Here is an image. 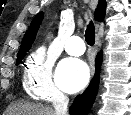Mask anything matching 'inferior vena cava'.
I'll list each match as a JSON object with an SVG mask.
<instances>
[{
  "instance_id": "602c4592",
  "label": "inferior vena cava",
  "mask_w": 131,
  "mask_h": 115,
  "mask_svg": "<svg viewBox=\"0 0 131 115\" xmlns=\"http://www.w3.org/2000/svg\"><path fill=\"white\" fill-rule=\"evenodd\" d=\"M69 98L64 94H57L53 100V107L56 115H67Z\"/></svg>"
}]
</instances>
